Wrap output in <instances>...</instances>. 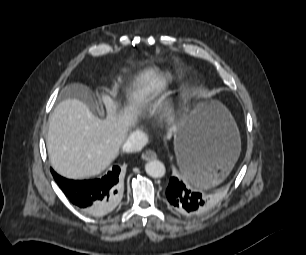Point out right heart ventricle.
Listing matches in <instances>:
<instances>
[{
  "label": "right heart ventricle",
  "mask_w": 306,
  "mask_h": 255,
  "mask_svg": "<svg viewBox=\"0 0 306 255\" xmlns=\"http://www.w3.org/2000/svg\"><path fill=\"white\" fill-rule=\"evenodd\" d=\"M172 80V76L167 73L152 78L148 84L142 90V96L144 99L151 97L154 93L160 91L165 85Z\"/></svg>",
  "instance_id": "obj_1"
}]
</instances>
